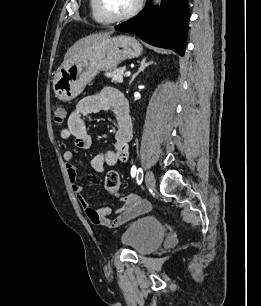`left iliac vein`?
Wrapping results in <instances>:
<instances>
[{
	"instance_id": "4c4485c4",
	"label": "left iliac vein",
	"mask_w": 261,
	"mask_h": 306,
	"mask_svg": "<svg viewBox=\"0 0 261 306\" xmlns=\"http://www.w3.org/2000/svg\"><path fill=\"white\" fill-rule=\"evenodd\" d=\"M145 183L148 188L154 189L155 187V177L152 171H147L145 175Z\"/></svg>"
}]
</instances>
